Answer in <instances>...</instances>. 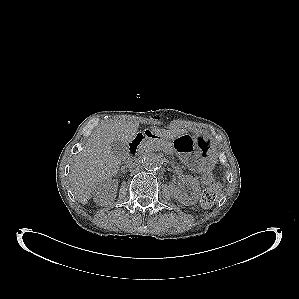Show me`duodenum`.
Segmentation results:
<instances>
[{"label": "duodenum", "instance_id": "410a0bca", "mask_svg": "<svg viewBox=\"0 0 299 299\" xmlns=\"http://www.w3.org/2000/svg\"><path fill=\"white\" fill-rule=\"evenodd\" d=\"M149 137H154V134L151 131L145 130L143 132H139L129 143L128 152L132 155L135 154L140 144Z\"/></svg>", "mask_w": 299, "mask_h": 299}]
</instances>
